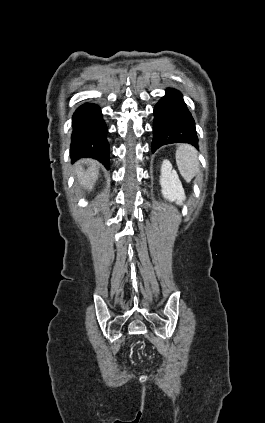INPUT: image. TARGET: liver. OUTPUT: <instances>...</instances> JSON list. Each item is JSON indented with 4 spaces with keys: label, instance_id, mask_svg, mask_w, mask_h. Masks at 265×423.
I'll return each mask as SVG.
<instances>
[{
    "label": "liver",
    "instance_id": "6515ba94",
    "mask_svg": "<svg viewBox=\"0 0 265 423\" xmlns=\"http://www.w3.org/2000/svg\"><path fill=\"white\" fill-rule=\"evenodd\" d=\"M82 164L88 165V169L86 171L83 169ZM98 167L99 163L92 159L82 160L79 162L75 170L79 183L91 190L98 178Z\"/></svg>",
    "mask_w": 265,
    "mask_h": 423
}]
</instances>
